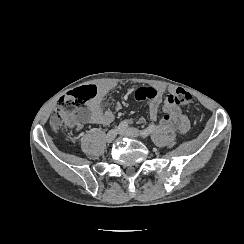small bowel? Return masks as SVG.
<instances>
[{
    "label": "small bowel",
    "mask_w": 244,
    "mask_h": 244,
    "mask_svg": "<svg viewBox=\"0 0 244 244\" xmlns=\"http://www.w3.org/2000/svg\"><path fill=\"white\" fill-rule=\"evenodd\" d=\"M96 87V96L87 104L88 112L85 121L80 122V131L86 123L109 125L114 120V114L104 108V100L110 91L114 88L112 82H103ZM164 87H143L136 91V98L139 101H144L148 106V117L152 121L159 118L160 109L163 116L160 118V125L164 130L176 132L184 135L190 130V122L185 113L172 102L173 89H169L168 96L164 97L166 93ZM118 105L116 109L118 110ZM140 123L144 121L143 118L138 120Z\"/></svg>",
    "instance_id": "obj_1"
}]
</instances>
